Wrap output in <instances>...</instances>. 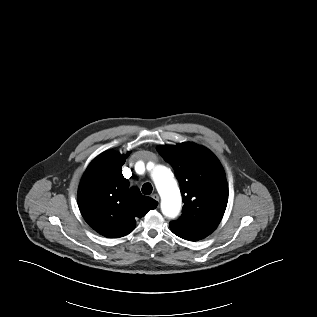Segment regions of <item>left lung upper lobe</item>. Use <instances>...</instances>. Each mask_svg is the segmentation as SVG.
Masks as SVG:
<instances>
[{"label": "left lung upper lobe", "mask_w": 317, "mask_h": 317, "mask_svg": "<svg viewBox=\"0 0 317 317\" xmlns=\"http://www.w3.org/2000/svg\"><path fill=\"white\" fill-rule=\"evenodd\" d=\"M160 155L171 164L183 196V214L170 222V228L182 224L218 226L228 202V186L223 167L207 148L181 143L158 146Z\"/></svg>", "instance_id": "5c2ea615"}]
</instances>
